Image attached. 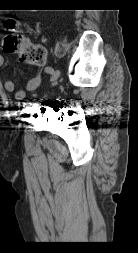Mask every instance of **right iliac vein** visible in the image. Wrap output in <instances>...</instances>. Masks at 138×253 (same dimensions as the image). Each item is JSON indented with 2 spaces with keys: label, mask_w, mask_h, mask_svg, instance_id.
I'll list each match as a JSON object with an SVG mask.
<instances>
[{
  "label": "right iliac vein",
  "mask_w": 138,
  "mask_h": 253,
  "mask_svg": "<svg viewBox=\"0 0 138 253\" xmlns=\"http://www.w3.org/2000/svg\"><path fill=\"white\" fill-rule=\"evenodd\" d=\"M58 76H59V72L56 71V72H54V74L51 76L50 80H51V81L56 80V79L58 78Z\"/></svg>",
  "instance_id": "1"
}]
</instances>
